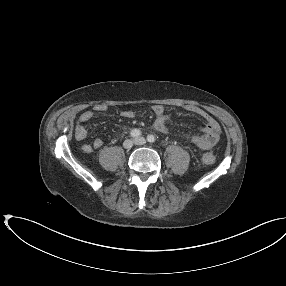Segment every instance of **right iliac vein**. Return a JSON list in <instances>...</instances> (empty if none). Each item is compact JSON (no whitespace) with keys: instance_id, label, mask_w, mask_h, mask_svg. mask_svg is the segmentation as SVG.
<instances>
[{"instance_id":"obj_1","label":"right iliac vein","mask_w":286,"mask_h":286,"mask_svg":"<svg viewBox=\"0 0 286 286\" xmlns=\"http://www.w3.org/2000/svg\"><path fill=\"white\" fill-rule=\"evenodd\" d=\"M133 144H134V141L132 139H126L124 142H123V147L125 149H131L133 147Z\"/></svg>"}]
</instances>
